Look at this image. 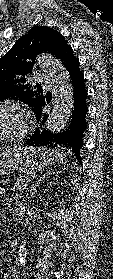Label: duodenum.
I'll use <instances>...</instances> for the list:
<instances>
[{
  "mask_svg": "<svg viewBox=\"0 0 113 279\" xmlns=\"http://www.w3.org/2000/svg\"><path fill=\"white\" fill-rule=\"evenodd\" d=\"M24 213V205L22 203H16L15 205V214L20 217ZM16 240H14V243Z\"/></svg>",
  "mask_w": 113,
  "mask_h": 279,
  "instance_id": "duodenum-1",
  "label": "duodenum"
}]
</instances>
